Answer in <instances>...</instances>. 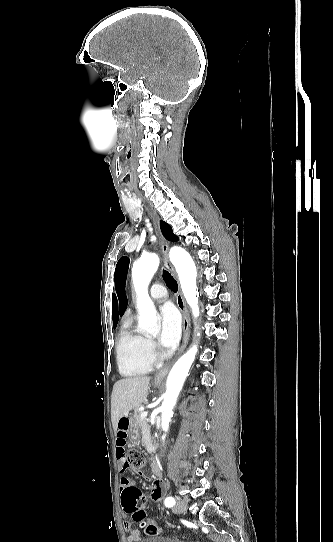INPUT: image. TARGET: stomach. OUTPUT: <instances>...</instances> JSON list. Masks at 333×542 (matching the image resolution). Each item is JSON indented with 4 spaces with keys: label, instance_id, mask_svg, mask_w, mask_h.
Instances as JSON below:
<instances>
[{
    "label": "stomach",
    "instance_id": "0dacf381",
    "mask_svg": "<svg viewBox=\"0 0 333 542\" xmlns=\"http://www.w3.org/2000/svg\"><path fill=\"white\" fill-rule=\"evenodd\" d=\"M153 386H155V388H159V386H161V384H153ZM127 416V414H125ZM129 418V423H128V436H129V440L130 442H137L138 438H139V434L137 432V426L133 420V418H131V416H127Z\"/></svg>",
    "mask_w": 333,
    "mask_h": 542
}]
</instances>
